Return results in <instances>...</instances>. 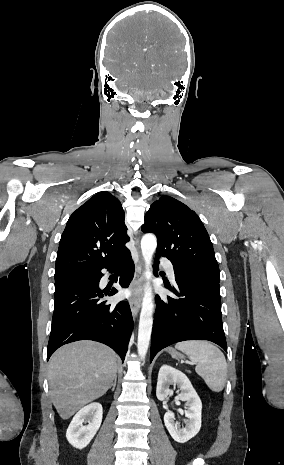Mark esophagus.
Returning a JSON list of instances; mask_svg holds the SVG:
<instances>
[{
    "label": "esophagus",
    "instance_id": "esophagus-1",
    "mask_svg": "<svg viewBox=\"0 0 284 465\" xmlns=\"http://www.w3.org/2000/svg\"><path fill=\"white\" fill-rule=\"evenodd\" d=\"M136 247L139 249V240L137 239ZM144 282V266L142 257L139 256V261L135 267L134 277L130 285V290L133 292L129 298V304L132 311L133 318L136 319L141 305V289Z\"/></svg>",
    "mask_w": 284,
    "mask_h": 465
}]
</instances>
